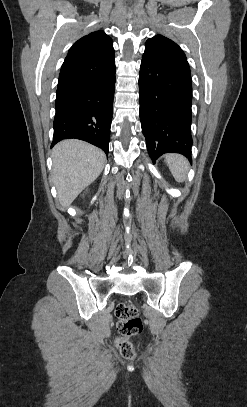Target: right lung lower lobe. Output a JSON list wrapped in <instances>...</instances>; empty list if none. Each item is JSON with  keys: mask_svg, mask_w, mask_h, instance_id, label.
<instances>
[{"mask_svg": "<svg viewBox=\"0 0 247 407\" xmlns=\"http://www.w3.org/2000/svg\"><path fill=\"white\" fill-rule=\"evenodd\" d=\"M115 70L112 58L78 80L57 88L51 147L63 139L76 138L108 155Z\"/></svg>", "mask_w": 247, "mask_h": 407, "instance_id": "right-lung-lower-lobe-1", "label": "right lung lower lobe"}]
</instances>
